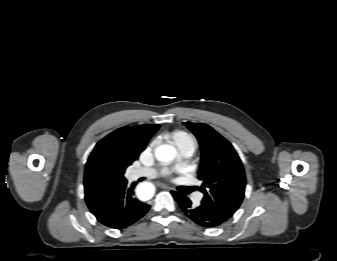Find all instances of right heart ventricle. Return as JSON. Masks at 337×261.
<instances>
[{
    "label": "right heart ventricle",
    "mask_w": 337,
    "mask_h": 261,
    "mask_svg": "<svg viewBox=\"0 0 337 261\" xmlns=\"http://www.w3.org/2000/svg\"><path fill=\"white\" fill-rule=\"evenodd\" d=\"M170 137L172 141L178 146V148L188 144H195L194 139L184 131H174L171 133Z\"/></svg>",
    "instance_id": "e07e8e85"
}]
</instances>
